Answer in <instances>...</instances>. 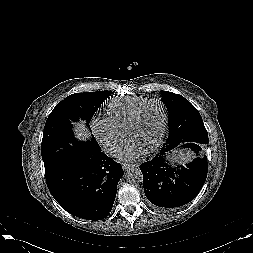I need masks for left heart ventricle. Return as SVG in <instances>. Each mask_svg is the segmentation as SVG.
Wrapping results in <instances>:
<instances>
[{
  "mask_svg": "<svg viewBox=\"0 0 253 253\" xmlns=\"http://www.w3.org/2000/svg\"><path fill=\"white\" fill-rule=\"evenodd\" d=\"M163 117V109L159 103L148 105L143 110L136 126L129 132V140L135 141L147 150L159 137Z\"/></svg>",
  "mask_w": 253,
  "mask_h": 253,
  "instance_id": "1",
  "label": "left heart ventricle"
}]
</instances>
